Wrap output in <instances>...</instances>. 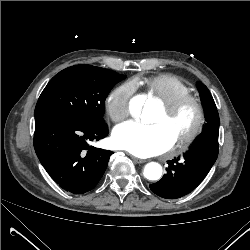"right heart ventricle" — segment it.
I'll return each instance as SVG.
<instances>
[{
    "mask_svg": "<svg viewBox=\"0 0 250 250\" xmlns=\"http://www.w3.org/2000/svg\"><path fill=\"white\" fill-rule=\"evenodd\" d=\"M136 85L144 86L149 96L162 103L170 102L190 92V87L181 78L173 74L143 77L137 80Z\"/></svg>",
    "mask_w": 250,
    "mask_h": 250,
    "instance_id": "right-heart-ventricle-1",
    "label": "right heart ventricle"
}]
</instances>
